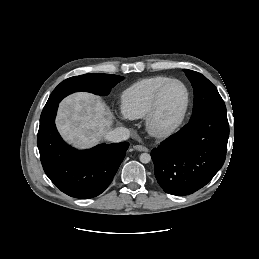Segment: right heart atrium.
Listing matches in <instances>:
<instances>
[{"label": "right heart atrium", "instance_id": "d8ad5b80", "mask_svg": "<svg viewBox=\"0 0 259 259\" xmlns=\"http://www.w3.org/2000/svg\"><path fill=\"white\" fill-rule=\"evenodd\" d=\"M127 118L128 117L125 114H123L122 119H127Z\"/></svg>", "mask_w": 259, "mask_h": 259}]
</instances>
